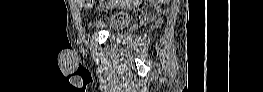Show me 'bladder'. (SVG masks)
<instances>
[{
	"label": "bladder",
	"mask_w": 263,
	"mask_h": 92,
	"mask_svg": "<svg viewBox=\"0 0 263 92\" xmlns=\"http://www.w3.org/2000/svg\"><path fill=\"white\" fill-rule=\"evenodd\" d=\"M128 22V15L116 13L110 17L109 27L111 30L116 31L123 28Z\"/></svg>",
	"instance_id": "1"
}]
</instances>
